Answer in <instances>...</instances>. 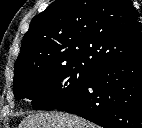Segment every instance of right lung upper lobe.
<instances>
[{
  "label": "right lung upper lobe",
  "mask_w": 142,
  "mask_h": 128,
  "mask_svg": "<svg viewBox=\"0 0 142 128\" xmlns=\"http://www.w3.org/2000/svg\"><path fill=\"white\" fill-rule=\"evenodd\" d=\"M140 51V22L130 1L57 0L32 19L14 78L39 67L81 65L95 71Z\"/></svg>",
  "instance_id": "right-lung-upper-lobe-1"
}]
</instances>
